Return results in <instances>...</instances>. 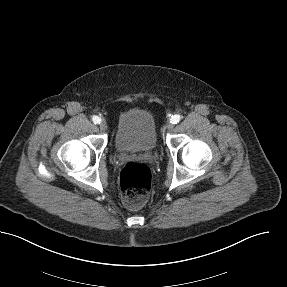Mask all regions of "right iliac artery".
<instances>
[{"mask_svg":"<svg viewBox=\"0 0 287 287\" xmlns=\"http://www.w3.org/2000/svg\"><path fill=\"white\" fill-rule=\"evenodd\" d=\"M92 121L94 124H100L101 119L98 116H93Z\"/></svg>","mask_w":287,"mask_h":287,"instance_id":"1","label":"right iliac artery"}]
</instances>
